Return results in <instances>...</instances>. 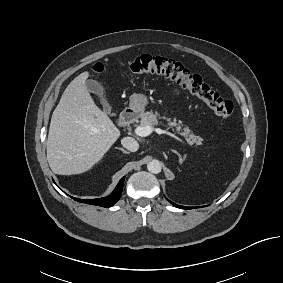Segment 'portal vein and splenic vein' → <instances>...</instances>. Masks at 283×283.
<instances>
[{
  "mask_svg": "<svg viewBox=\"0 0 283 283\" xmlns=\"http://www.w3.org/2000/svg\"><path fill=\"white\" fill-rule=\"evenodd\" d=\"M152 131H155L156 133L158 134H167L173 138H175L176 140L184 143L181 139H179L177 136H175L174 134H172L171 132H168L166 130H162L160 128H157V129H154V128H151L149 126H138L136 127L135 129V133L138 135V136H141V137H146L148 135H150L152 133Z\"/></svg>",
  "mask_w": 283,
  "mask_h": 283,
  "instance_id": "1",
  "label": "portal vein and splenic vein"
}]
</instances>
